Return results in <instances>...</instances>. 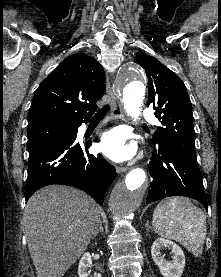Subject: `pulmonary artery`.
Returning <instances> with one entry per match:
<instances>
[{
  "label": "pulmonary artery",
  "mask_w": 221,
  "mask_h": 277,
  "mask_svg": "<svg viewBox=\"0 0 221 277\" xmlns=\"http://www.w3.org/2000/svg\"><path fill=\"white\" fill-rule=\"evenodd\" d=\"M143 117H144V119L147 120V121L156 122V119H155L153 113H152L150 110H145V111L143 112Z\"/></svg>",
  "instance_id": "obj_1"
}]
</instances>
